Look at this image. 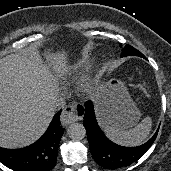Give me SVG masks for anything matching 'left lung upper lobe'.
Instances as JSON below:
<instances>
[{
  "mask_svg": "<svg viewBox=\"0 0 171 171\" xmlns=\"http://www.w3.org/2000/svg\"><path fill=\"white\" fill-rule=\"evenodd\" d=\"M120 46L122 47L121 57H124V56H139V57L145 58L144 55L141 52H139L137 49L133 48L130 45L122 46V44H120Z\"/></svg>",
  "mask_w": 171,
  "mask_h": 171,
  "instance_id": "5c2ea615",
  "label": "left lung upper lobe"
}]
</instances>
